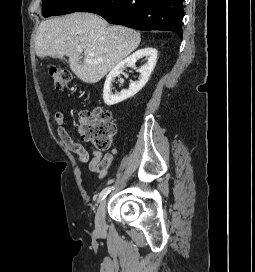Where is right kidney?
Instances as JSON below:
<instances>
[{"label": "right kidney", "mask_w": 255, "mask_h": 272, "mask_svg": "<svg viewBox=\"0 0 255 272\" xmlns=\"http://www.w3.org/2000/svg\"><path fill=\"white\" fill-rule=\"evenodd\" d=\"M146 57L147 63L138 71L140 73L138 82H131L128 89L122 90L120 93H111L112 82L115 77L119 76L126 67L136 69L135 63L138 59ZM157 62V50L155 48L146 47L139 49L132 55L118 63L107 75L103 89V100L108 106L120 103L138 93L147 83Z\"/></svg>", "instance_id": "right-kidney-1"}]
</instances>
